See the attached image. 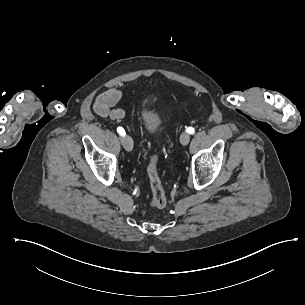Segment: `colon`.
<instances>
[{"mask_svg":"<svg viewBox=\"0 0 305 305\" xmlns=\"http://www.w3.org/2000/svg\"><path fill=\"white\" fill-rule=\"evenodd\" d=\"M147 175L151 189L150 204L154 208H164L167 204V196L162 186L161 178L157 170V157H152L147 168Z\"/></svg>","mask_w":305,"mask_h":305,"instance_id":"5ec220e1","label":"colon"}]
</instances>
